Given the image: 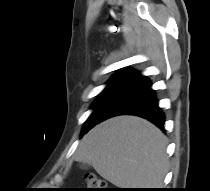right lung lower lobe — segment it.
Segmentation results:
<instances>
[{"mask_svg":"<svg viewBox=\"0 0 210 191\" xmlns=\"http://www.w3.org/2000/svg\"><path fill=\"white\" fill-rule=\"evenodd\" d=\"M117 115H137L164 130L165 116L158 106L155 91L151 89V82L136 71H124L100 107L95 125Z\"/></svg>","mask_w":210,"mask_h":191,"instance_id":"98d812e1","label":"right lung lower lobe"}]
</instances>
